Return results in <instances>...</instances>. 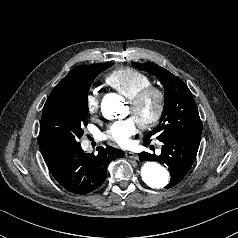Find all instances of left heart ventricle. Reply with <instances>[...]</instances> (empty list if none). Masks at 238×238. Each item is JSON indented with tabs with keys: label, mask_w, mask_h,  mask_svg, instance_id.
Returning <instances> with one entry per match:
<instances>
[{
	"label": "left heart ventricle",
	"mask_w": 238,
	"mask_h": 238,
	"mask_svg": "<svg viewBox=\"0 0 238 238\" xmlns=\"http://www.w3.org/2000/svg\"><path fill=\"white\" fill-rule=\"evenodd\" d=\"M154 109V103L152 101L148 102L140 113L134 114L131 107L129 106V113L134 116L136 121L138 122L141 118L149 116Z\"/></svg>",
	"instance_id": "1"
}]
</instances>
